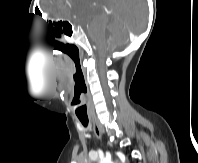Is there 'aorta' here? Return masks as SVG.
Returning <instances> with one entry per match:
<instances>
[{"label": "aorta", "instance_id": "obj_1", "mask_svg": "<svg viewBox=\"0 0 198 163\" xmlns=\"http://www.w3.org/2000/svg\"><path fill=\"white\" fill-rule=\"evenodd\" d=\"M99 163H111L110 160H107L106 158L101 157L99 160Z\"/></svg>", "mask_w": 198, "mask_h": 163}]
</instances>
